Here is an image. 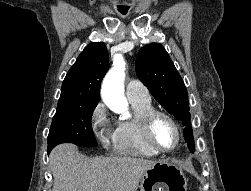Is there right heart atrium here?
Here are the masks:
<instances>
[{"label":"right heart atrium","instance_id":"1","mask_svg":"<svg viewBox=\"0 0 251 191\" xmlns=\"http://www.w3.org/2000/svg\"><path fill=\"white\" fill-rule=\"evenodd\" d=\"M90 131L93 137L108 150L115 145L116 134L106 105L99 101L91 111L89 118Z\"/></svg>","mask_w":251,"mask_h":191}]
</instances>
